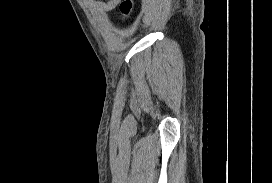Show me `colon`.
<instances>
[{
	"label": "colon",
	"instance_id": "1",
	"mask_svg": "<svg viewBox=\"0 0 272 183\" xmlns=\"http://www.w3.org/2000/svg\"><path fill=\"white\" fill-rule=\"evenodd\" d=\"M133 0H120L119 9L123 17L128 16L133 10Z\"/></svg>",
	"mask_w": 272,
	"mask_h": 183
}]
</instances>
